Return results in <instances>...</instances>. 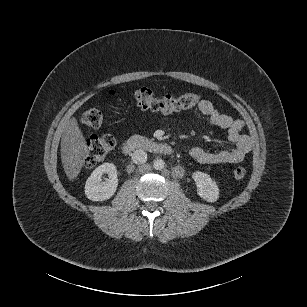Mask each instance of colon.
<instances>
[{
    "label": "colon",
    "instance_id": "5ec220e1",
    "mask_svg": "<svg viewBox=\"0 0 307 307\" xmlns=\"http://www.w3.org/2000/svg\"><path fill=\"white\" fill-rule=\"evenodd\" d=\"M116 94L115 91L110 92ZM132 99L142 110L160 112L164 114L184 110L197 105L201 101L198 93L188 92L179 97L164 95L154 97L152 91L148 88L137 89ZM103 113L98 109H89L81 116V123L90 129L100 127L103 122ZM115 138L111 135L93 136L87 142L85 163L87 166H95L105 159L115 146ZM233 177L241 180L246 176V170L242 166L233 169Z\"/></svg>",
    "mask_w": 307,
    "mask_h": 307
}]
</instances>
